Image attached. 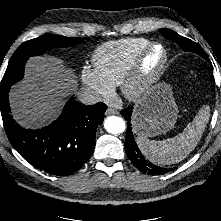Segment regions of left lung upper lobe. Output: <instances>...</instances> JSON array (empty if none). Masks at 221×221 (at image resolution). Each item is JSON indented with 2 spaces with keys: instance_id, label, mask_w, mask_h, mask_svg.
Here are the masks:
<instances>
[{
  "instance_id": "obj_1",
  "label": "left lung upper lobe",
  "mask_w": 221,
  "mask_h": 221,
  "mask_svg": "<svg viewBox=\"0 0 221 221\" xmlns=\"http://www.w3.org/2000/svg\"><path fill=\"white\" fill-rule=\"evenodd\" d=\"M159 31L165 38L170 39L175 43H177L184 51L197 53L206 59V55L202 50V48L195 42L191 41L190 39L180 36L176 32L169 29H160Z\"/></svg>"
}]
</instances>
